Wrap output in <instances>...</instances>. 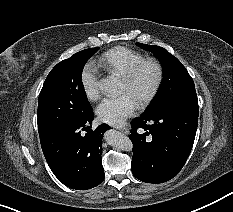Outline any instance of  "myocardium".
Instances as JSON below:
<instances>
[{"mask_svg": "<svg viewBox=\"0 0 233 212\" xmlns=\"http://www.w3.org/2000/svg\"><path fill=\"white\" fill-rule=\"evenodd\" d=\"M146 65H152L155 69V80L146 96L138 103L139 107H145L152 102L157 95L164 78V69L162 64L155 58H144L134 64L124 75L122 80L127 84H132L137 78L139 72Z\"/></svg>", "mask_w": 233, "mask_h": 212, "instance_id": "myocardium-1", "label": "myocardium"}]
</instances>
